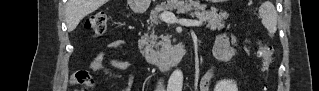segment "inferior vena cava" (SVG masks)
Returning <instances> with one entry per match:
<instances>
[{
    "mask_svg": "<svg viewBox=\"0 0 319 91\" xmlns=\"http://www.w3.org/2000/svg\"><path fill=\"white\" fill-rule=\"evenodd\" d=\"M164 85H163V82H162V80H159V82H158V84H157V86H156V91H165L164 90Z\"/></svg>",
    "mask_w": 319,
    "mask_h": 91,
    "instance_id": "inferior-vena-cava-1",
    "label": "inferior vena cava"
}]
</instances>
